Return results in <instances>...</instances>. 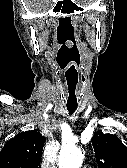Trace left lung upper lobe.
I'll list each match as a JSON object with an SVG mask.
<instances>
[{
	"instance_id": "left-lung-upper-lobe-1",
	"label": "left lung upper lobe",
	"mask_w": 127,
	"mask_h": 168,
	"mask_svg": "<svg viewBox=\"0 0 127 168\" xmlns=\"http://www.w3.org/2000/svg\"><path fill=\"white\" fill-rule=\"evenodd\" d=\"M92 145L99 168H127V147L113 134H94Z\"/></svg>"
}]
</instances>
